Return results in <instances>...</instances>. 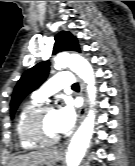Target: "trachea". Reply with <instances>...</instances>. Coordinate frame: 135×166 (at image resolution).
<instances>
[{
    "label": "trachea",
    "mask_w": 135,
    "mask_h": 166,
    "mask_svg": "<svg viewBox=\"0 0 135 166\" xmlns=\"http://www.w3.org/2000/svg\"><path fill=\"white\" fill-rule=\"evenodd\" d=\"M72 89H79L78 83H74L73 86H72Z\"/></svg>",
    "instance_id": "3493384b"
}]
</instances>
